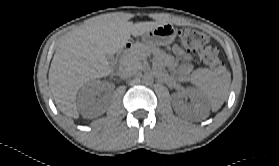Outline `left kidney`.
Returning <instances> with one entry per match:
<instances>
[{
    "label": "left kidney",
    "instance_id": "obj_1",
    "mask_svg": "<svg viewBox=\"0 0 279 166\" xmlns=\"http://www.w3.org/2000/svg\"><path fill=\"white\" fill-rule=\"evenodd\" d=\"M184 98L190 99V105L196 109H200L204 105L203 95L199 90L193 88H187L185 92L175 93L173 95L174 99V109L178 113L185 112L188 108V105L183 102Z\"/></svg>",
    "mask_w": 279,
    "mask_h": 166
}]
</instances>
